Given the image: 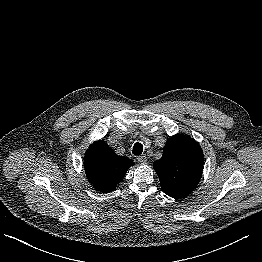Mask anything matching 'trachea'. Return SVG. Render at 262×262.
Instances as JSON below:
<instances>
[{
    "instance_id": "trachea-1",
    "label": "trachea",
    "mask_w": 262,
    "mask_h": 262,
    "mask_svg": "<svg viewBox=\"0 0 262 262\" xmlns=\"http://www.w3.org/2000/svg\"><path fill=\"white\" fill-rule=\"evenodd\" d=\"M142 152H143V145L139 142L135 143L134 146H133L132 153L134 155L139 156V155L142 154Z\"/></svg>"
}]
</instances>
